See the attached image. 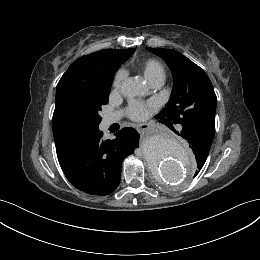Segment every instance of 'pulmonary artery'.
<instances>
[{"label": "pulmonary artery", "instance_id": "1", "mask_svg": "<svg viewBox=\"0 0 260 260\" xmlns=\"http://www.w3.org/2000/svg\"><path fill=\"white\" fill-rule=\"evenodd\" d=\"M164 80H156L150 83L152 88H158L163 84ZM119 119L118 115H110L105 118L106 124H111L113 122H116Z\"/></svg>", "mask_w": 260, "mask_h": 260}]
</instances>
